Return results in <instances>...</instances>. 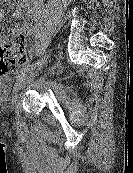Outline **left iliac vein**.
<instances>
[{"instance_id":"1","label":"left iliac vein","mask_w":133,"mask_h":173,"mask_svg":"<svg viewBox=\"0 0 133 173\" xmlns=\"http://www.w3.org/2000/svg\"><path fill=\"white\" fill-rule=\"evenodd\" d=\"M32 75V69L24 73L21 77H19L14 86V94H16L24 85V83L28 80V78Z\"/></svg>"}]
</instances>
